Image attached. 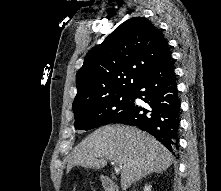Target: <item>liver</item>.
<instances>
[{
	"mask_svg": "<svg viewBox=\"0 0 221 191\" xmlns=\"http://www.w3.org/2000/svg\"><path fill=\"white\" fill-rule=\"evenodd\" d=\"M114 161L121 171V187L125 190L134 181L153 172L167 170L171 153L154 137L135 127L104 126L88 135L73 150L67 166L103 168Z\"/></svg>",
	"mask_w": 221,
	"mask_h": 191,
	"instance_id": "liver-1",
	"label": "liver"
}]
</instances>
